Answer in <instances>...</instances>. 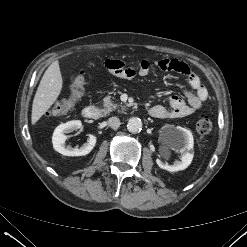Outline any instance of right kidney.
Listing matches in <instances>:
<instances>
[{
	"label": "right kidney",
	"instance_id": "1",
	"mask_svg": "<svg viewBox=\"0 0 247 247\" xmlns=\"http://www.w3.org/2000/svg\"><path fill=\"white\" fill-rule=\"evenodd\" d=\"M81 128L82 123L79 120H73L67 123L60 124L53 133V148L57 152L65 156H85L89 154L94 148L97 141L96 136L92 134L88 135L89 138L87 143L83 144L80 148H72L70 146L65 147V141L67 139L66 134Z\"/></svg>",
	"mask_w": 247,
	"mask_h": 247
}]
</instances>
